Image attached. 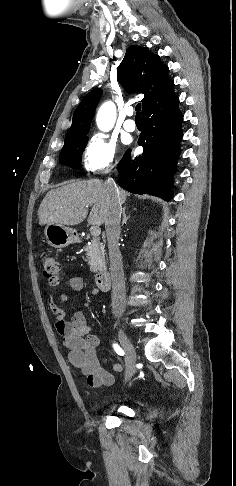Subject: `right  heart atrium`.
<instances>
[{
  "mask_svg": "<svg viewBox=\"0 0 236 486\" xmlns=\"http://www.w3.org/2000/svg\"><path fill=\"white\" fill-rule=\"evenodd\" d=\"M118 159V146L115 141L102 133L93 134L87 141L83 152V163L90 173L113 168Z\"/></svg>",
  "mask_w": 236,
  "mask_h": 486,
  "instance_id": "1",
  "label": "right heart atrium"
}]
</instances>
